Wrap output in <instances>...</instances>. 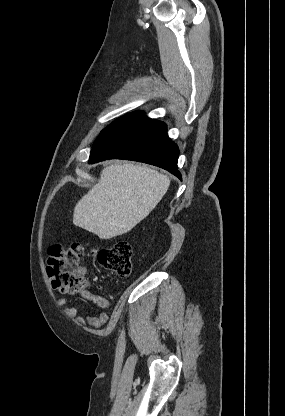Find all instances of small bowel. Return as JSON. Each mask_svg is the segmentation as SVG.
<instances>
[{
	"mask_svg": "<svg viewBox=\"0 0 285 416\" xmlns=\"http://www.w3.org/2000/svg\"><path fill=\"white\" fill-rule=\"evenodd\" d=\"M79 295L81 298L94 303L102 310H108L110 308V301L106 297L95 294L86 287L79 291ZM67 303L68 300L65 298L58 300V304L60 306H64L65 314L83 327L90 325L98 329L105 325L108 321V315L105 312H100L97 315H91L88 313L80 315V308L78 306H66Z\"/></svg>",
	"mask_w": 285,
	"mask_h": 416,
	"instance_id": "c3829d8e",
	"label": "small bowel"
}]
</instances>
